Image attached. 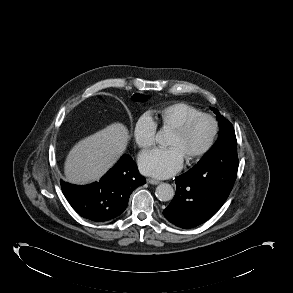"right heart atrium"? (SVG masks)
<instances>
[{
  "label": "right heart atrium",
  "instance_id": "right-heart-atrium-1",
  "mask_svg": "<svg viewBox=\"0 0 293 293\" xmlns=\"http://www.w3.org/2000/svg\"><path fill=\"white\" fill-rule=\"evenodd\" d=\"M157 123L154 118L148 114L140 115L133 126V136L136 144L141 149H148L155 143Z\"/></svg>",
  "mask_w": 293,
  "mask_h": 293
}]
</instances>
